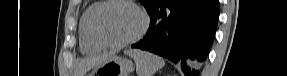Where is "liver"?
I'll return each instance as SVG.
<instances>
[{
    "label": "liver",
    "instance_id": "liver-1",
    "mask_svg": "<svg viewBox=\"0 0 287 76\" xmlns=\"http://www.w3.org/2000/svg\"><path fill=\"white\" fill-rule=\"evenodd\" d=\"M108 57L111 56L103 55L100 57L85 58L81 60L76 69V76H83L86 72H88L90 69L97 66L98 64L102 63Z\"/></svg>",
    "mask_w": 287,
    "mask_h": 76
}]
</instances>
